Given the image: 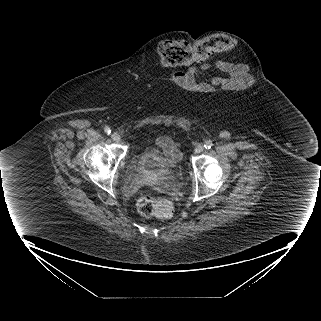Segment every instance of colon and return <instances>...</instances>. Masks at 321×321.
<instances>
[{
  "label": "colon",
  "instance_id": "1",
  "mask_svg": "<svg viewBox=\"0 0 321 321\" xmlns=\"http://www.w3.org/2000/svg\"><path fill=\"white\" fill-rule=\"evenodd\" d=\"M234 46L233 39L224 35L211 36L195 43L186 41H164L157 48L161 63L165 67H178L204 62L212 55L228 51ZM137 210L144 217L155 216L167 219L174 212L173 204L163 198L146 194L137 201Z\"/></svg>",
  "mask_w": 321,
  "mask_h": 321
}]
</instances>
